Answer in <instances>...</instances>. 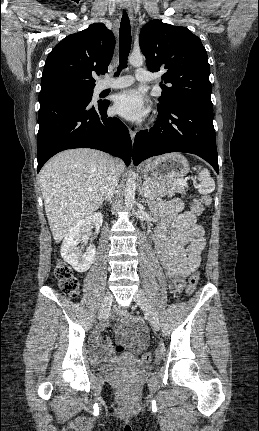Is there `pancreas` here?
Segmentation results:
<instances>
[{
	"mask_svg": "<svg viewBox=\"0 0 259 431\" xmlns=\"http://www.w3.org/2000/svg\"><path fill=\"white\" fill-rule=\"evenodd\" d=\"M145 189L149 190V200L158 197H173L175 193L185 195L187 185L178 183L176 180H148L144 182Z\"/></svg>",
	"mask_w": 259,
	"mask_h": 431,
	"instance_id": "1",
	"label": "pancreas"
}]
</instances>
